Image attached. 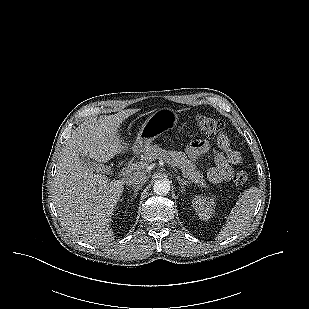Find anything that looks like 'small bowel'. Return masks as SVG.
<instances>
[{"label":"small bowel","instance_id":"small-bowel-1","mask_svg":"<svg viewBox=\"0 0 309 309\" xmlns=\"http://www.w3.org/2000/svg\"><path fill=\"white\" fill-rule=\"evenodd\" d=\"M219 150L212 149L206 141H195L190 144L188 151L195 156L201 153H211L214 157L215 166L207 171V176L212 183L218 184L228 181L233 176V166L243 163V155L235 150L226 134H221L217 139Z\"/></svg>","mask_w":309,"mask_h":309}]
</instances>
